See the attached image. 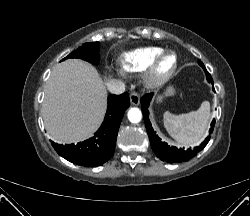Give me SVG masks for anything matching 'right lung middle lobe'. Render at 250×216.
I'll return each mask as SVG.
<instances>
[{
    "mask_svg": "<svg viewBox=\"0 0 250 216\" xmlns=\"http://www.w3.org/2000/svg\"><path fill=\"white\" fill-rule=\"evenodd\" d=\"M67 58H80L92 64L99 62V42L85 43L77 50L69 54ZM64 60V59H63Z\"/></svg>",
    "mask_w": 250,
    "mask_h": 216,
    "instance_id": "obj_1",
    "label": "right lung middle lobe"
}]
</instances>
